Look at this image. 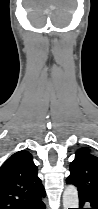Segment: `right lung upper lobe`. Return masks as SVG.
<instances>
[{
    "label": "right lung upper lobe",
    "mask_w": 98,
    "mask_h": 209,
    "mask_svg": "<svg viewBox=\"0 0 98 209\" xmlns=\"http://www.w3.org/2000/svg\"><path fill=\"white\" fill-rule=\"evenodd\" d=\"M32 155L13 154L0 167V209H20L45 192Z\"/></svg>",
    "instance_id": "obj_1"
}]
</instances>
